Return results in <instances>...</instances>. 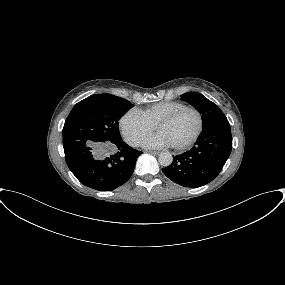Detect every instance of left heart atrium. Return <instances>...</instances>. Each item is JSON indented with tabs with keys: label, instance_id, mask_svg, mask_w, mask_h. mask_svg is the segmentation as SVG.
<instances>
[{
	"label": "left heart atrium",
	"instance_id": "left-heart-atrium-1",
	"mask_svg": "<svg viewBox=\"0 0 285 285\" xmlns=\"http://www.w3.org/2000/svg\"><path fill=\"white\" fill-rule=\"evenodd\" d=\"M143 145L146 147H151V148H164V147L171 146L168 139L162 133H159V132L147 138L143 142Z\"/></svg>",
	"mask_w": 285,
	"mask_h": 285
}]
</instances>
